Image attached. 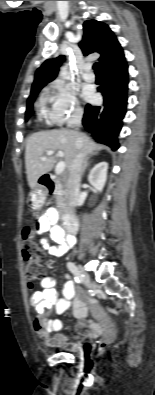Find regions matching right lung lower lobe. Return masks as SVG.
Masks as SVG:
<instances>
[{"label":"right lung lower lobe","instance_id":"right-lung-lower-lobe-1","mask_svg":"<svg viewBox=\"0 0 155 395\" xmlns=\"http://www.w3.org/2000/svg\"><path fill=\"white\" fill-rule=\"evenodd\" d=\"M104 83L98 88L103 105L85 108L83 125L96 140L113 150L119 148L117 136L126 113L128 92V65L126 60L102 70Z\"/></svg>","mask_w":155,"mask_h":395}]
</instances>
